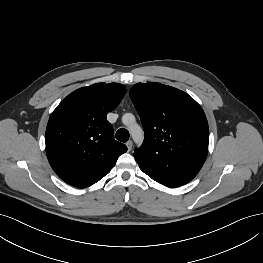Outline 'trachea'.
Instances as JSON below:
<instances>
[{
	"mask_svg": "<svg viewBox=\"0 0 263 263\" xmlns=\"http://www.w3.org/2000/svg\"><path fill=\"white\" fill-rule=\"evenodd\" d=\"M116 139L121 141V142H127L129 139V132L124 129V128H120L115 135Z\"/></svg>",
	"mask_w": 263,
	"mask_h": 263,
	"instance_id": "3493384b",
	"label": "trachea"
}]
</instances>
